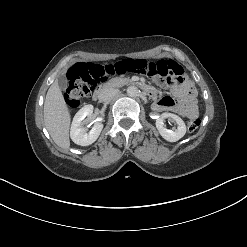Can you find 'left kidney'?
Wrapping results in <instances>:
<instances>
[{"instance_id": "5707ae66", "label": "left kidney", "mask_w": 247, "mask_h": 247, "mask_svg": "<svg viewBox=\"0 0 247 247\" xmlns=\"http://www.w3.org/2000/svg\"><path fill=\"white\" fill-rule=\"evenodd\" d=\"M164 118H171L176 122L177 128L175 130H169L164 125ZM156 127L160 135L169 142H176L181 139L186 133V125L184 121L177 115L172 113H163L156 120Z\"/></svg>"}]
</instances>
